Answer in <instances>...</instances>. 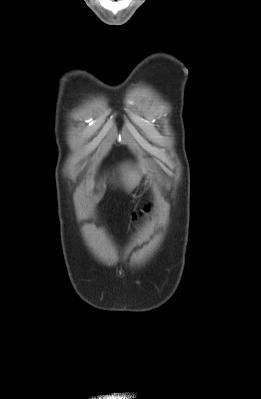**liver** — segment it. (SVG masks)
<instances>
[{
    "label": "liver",
    "instance_id": "liver-1",
    "mask_svg": "<svg viewBox=\"0 0 261 399\" xmlns=\"http://www.w3.org/2000/svg\"><path fill=\"white\" fill-rule=\"evenodd\" d=\"M146 172L144 168L137 170L131 168V166H126L122 169L123 181L128 190L134 189L140 182L142 175Z\"/></svg>",
    "mask_w": 261,
    "mask_h": 399
}]
</instances>
